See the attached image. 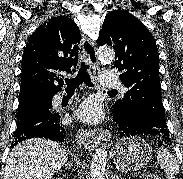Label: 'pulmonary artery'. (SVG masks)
I'll list each match as a JSON object with an SVG mask.
<instances>
[{
	"mask_svg": "<svg viewBox=\"0 0 183 179\" xmlns=\"http://www.w3.org/2000/svg\"><path fill=\"white\" fill-rule=\"evenodd\" d=\"M100 85L106 88H121L125 91V88L122 86L121 82L119 81L118 77L110 71H105L100 75ZM62 95H56L54 97V102L56 104L62 101Z\"/></svg>",
	"mask_w": 183,
	"mask_h": 179,
	"instance_id": "1",
	"label": "pulmonary artery"
}]
</instances>
